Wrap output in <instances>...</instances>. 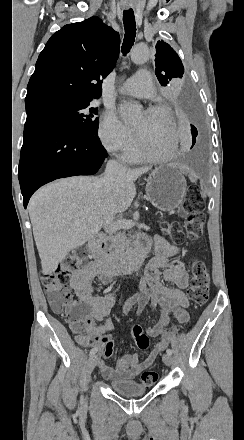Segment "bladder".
<instances>
[{"mask_svg": "<svg viewBox=\"0 0 244 440\" xmlns=\"http://www.w3.org/2000/svg\"><path fill=\"white\" fill-rule=\"evenodd\" d=\"M113 391L119 392L126 396H135L145 394L147 387L142 386L139 381L121 380L112 383Z\"/></svg>", "mask_w": 244, "mask_h": 440, "instance_id": "1", "label": "bladder"}]
</instances>
